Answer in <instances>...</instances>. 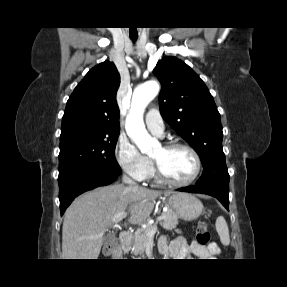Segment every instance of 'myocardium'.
Masks as SVG:
<instances>
[{"mask_svg":"<svg viewBox=\"0 0 287 287\" xmlns=\"http://www.w3.org/2000/svg\"><path fill=\"white\" fill-rule=\"evenodd\" d=\"M163 149L165 150H173V149H177V148H182V149H185V150H188L194 157L195 159V163H196V169H195V172L193 174V176L186 180V181H176V180H173L172 178H170L166 172L164 171L161 163L152 157V162H153V166H154V169H155V172L157 174V177L160 179V181L164 182V183H167L169 185H172V186H176V187H183V186H188L190 184H192L193 182H195L200 173H201V170H202V160H201V157L199 155V153L197 152V150L186 144V143H181V142H169V143H166L164 145H162Z\"/></svg>","mask_w":287,"mask_h":287,"instance_id":"myocardium-1","label":"myocardium"}]
</instances>
